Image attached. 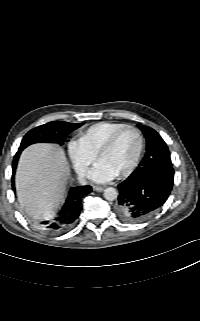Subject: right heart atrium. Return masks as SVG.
<instances>
[{
	"label": "right heart atrium",
	"instance_id": "d8ad5b80",
	"mask_svg": "<svg viewBox=\"0 0 200 321\" xmlns=\"http://www.w3.org/2000/svg\"><path fill=\"white\" fill-rule=\"evenodd\" d=\"M67 151L74 169L80 176H84L89 165L95 160L96 154L91 151L80 139L68 142Z\"/></svg>",
	"mask_w": 200,
	"mask_h": 321
}]
</instances>
